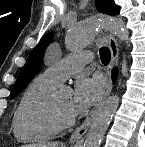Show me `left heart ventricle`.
Listing matches in <instances>:
<instances>
[{"mask_svg":"<svg viewBox=\"0 0 145 147\" xmlns=\"http://www.w3.org/2000/svg\"><path fill=\"white\" fill-rule=\"evenodd\" d=\"M71 95H65L56 98V103L58 107L65 113L71 114L70 113V106H71Z\"/></svg>","mask_w":145,"mask_h":147,"instance_id":"b2bd125f","label":"left heart ventricle"}]
</instances>
